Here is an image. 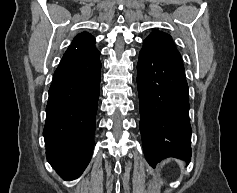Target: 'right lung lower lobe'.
<instances>
[{
  "label": "right lung lower lobe",
  "mask_w": 237,
  "mask_h": 193,
  "mask_svg": "<svg viewBox=\"0 0 237 193\" xmlns=\"http://www.w3.org/2000/svg\"><path fill=\"white\" fill-rule=\"evenodd\" d=\"M100 52L66 51L49 89L43 135L46 157L65 180L78 178L94 147Z\"/></svg>",
  "instance_id": "1"
}]
</instances>
